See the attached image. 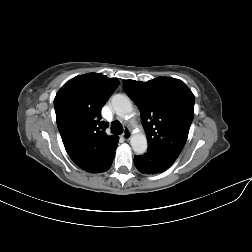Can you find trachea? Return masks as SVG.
Listing matches in <instances>:
<instances>
[{
    "label": "trachea",
    "instance_id": "trachea-1",
    "mask_svg": "<svg viewBox=\"0 0 252 252\" xmlns=\"http://www.w3.org/2000/svg\"><path fill=\"white\" fill-rule=\"evenodd\" d=\"M111 132L115 135H120L123 132V127L118 121H113L111 124Z\"/></svg>",
    "mask_w": 252,
    "mask_h": 252
}]
</instances>
